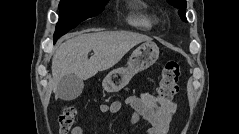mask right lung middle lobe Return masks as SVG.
Returning <instances> with one entry per match:
<instances>
[{"instance_id":"1","label":"right lung middle lobe","mask_w":239,"mask_h":134,"mask_svg":"<svg viewBox=\"0 0 239 134\" xmlns=\"http://www.w3.org/2000/svg\"><path fill=\"white\" fill-rule=\"evenodd\" d=\"M109 0H61L60 17L54 33V43L80 22L98 15Z\"/></svg>"}]
</instances>
